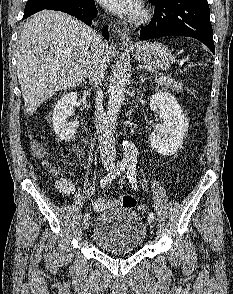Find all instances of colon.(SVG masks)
<instances>
[{"mask_svg": "<svg viewBox=\"0 0 233 294\" xmlns=\"http://www.w3.org/2000/svg\"><path fill=\"white\" fill-rule=\"evenodd\" d=\"M33 151L38 155H42L44 153V148L39 143H34ZM118 203L120 206L133 208L136 206V199L133 196L126 194L119 198ZM93 206L97 210H104L108 207V204L106 202H94Z\"/></svg>", "mask_w": 233, "mask_h": 294, "instance_id": "colon-1", "label": "colon"}]
</instances>
